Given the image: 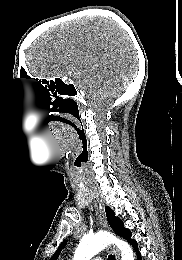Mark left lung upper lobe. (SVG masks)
I'll return each mask as SVG.
<instances>
[{"mask_svg": "<svg viewBox=\"0 0 182 260\" xmlns=\"http://www.w3.org/2000/svg\"><path fill=\"white\" fill-rule=\"evenodd\" d=\"M105 212L107 215V219L109 222V225L111 226V228L113 229V231L122 236L123 238L125 237V235L129 232V229L123 228V222L120 218L115 216L114 211L110 208V207H105ZM67 240L63 241L59 248L56 250V252L54 253V255L51 257V260H57L58 256L61 253V250L66 246Z\"/></svg>", "mask_w": 182, "mask_h": 260, "instance_id": "obj_1", "label": "left lung upper lobe"}]
</instances>
